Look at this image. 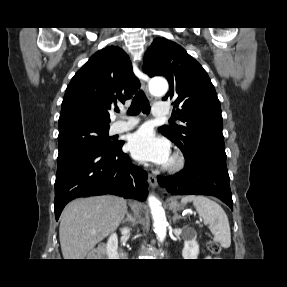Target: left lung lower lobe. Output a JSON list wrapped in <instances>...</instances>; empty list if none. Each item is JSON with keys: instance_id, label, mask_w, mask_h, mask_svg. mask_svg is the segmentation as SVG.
I'll use <instances>...</instances> for the list:
<instances>
[{"instance_id": "obj_1", "label": "left lung lower lobe", "mask_w": 287, "mask_h": 287, "mask_svg": "<svg viewBox=\"0 0 287 287\" xmlns=\"http://www.w3.org/2000/svg\"><path fill=\"white\" fill-rule=\"evenodd\" d=\"M159 184L171 195L215 196L233 209L230 178L227 166L212 159H201L196 163L186 161L185 168L168 177H159Z\"/></svg>"}]
</instances>
